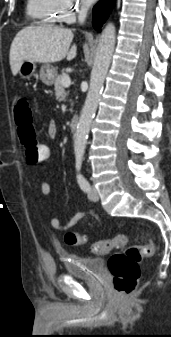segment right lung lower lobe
<instances>
[{
  "mask_svg": "<svg viewBox=\"0 0 171 337\" xmlns=\"http://www.w3.org/2000/svg\"><path fill=\"white\" fill-rule=\"evenodd\" d=\"M115 0H100L93 8V26L100 32L102 24L105 22L114 6Z\"/></svg>",
  "mask_w": 171,
  "mask_h": 337,
  "instance_id": "right-lung-lower-lobe-1",
  "label": "right lung lower lobe"
}]
</instances>
